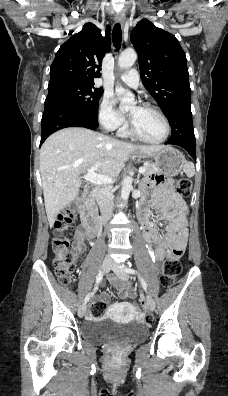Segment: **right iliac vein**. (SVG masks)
Listing matches in <instances>:
<instances>
[{
  "label": "right iliac vein",
  "mask_w": 228,
  "mask_h": 396,
  "mask_svg": "<svg viewBox=\"0 0 228 396\" xmlns=\"http://www.w3.org/2000/svg\"><path fill=\"white\" fill-rule=\"evenodd\" d=\"M112 266V261L109 257H105L103 262H102V272L103 273H108L111 269ZM86 313V305L82 304L80 305L79 309H78V316L80 318L84 317Z\"/></svg>",
  "instance_id": "63e3f726"
}]
</instances>
